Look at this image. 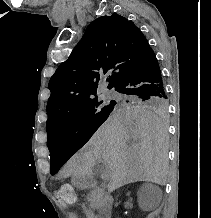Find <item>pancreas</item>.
<instances>
[{"mask_svg":"<svg viewBox=\"0 0 211 218\" xmlns=\"http://www.w3.org/2000/svg\"><path fill=\"white\" fill-rule=\"evenodd\" d=\"M88 202L92 210H99L101 205H109L111 201L107 195V190H91Z\"/></svg>","mask_w":211,"mask_h":218,"instance_id":"1","label":"pancreas"}]
</instances>
